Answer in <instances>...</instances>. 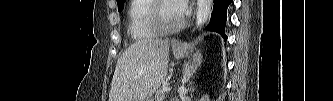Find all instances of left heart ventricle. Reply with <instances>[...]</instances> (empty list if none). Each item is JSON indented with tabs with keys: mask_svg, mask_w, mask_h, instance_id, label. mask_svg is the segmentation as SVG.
Wrapping results in <instances>:
<instances>
[{
	"mask_svg": "<svg viewBox=\"0 0 333 101\" xmlns=\"http://www.w3.org/2000/svg\"><path fill=\"white\" fill-rule=\"evenodd\" d=\"M160 17L165 27H172L181 20L182 15L177 11L174 3L166 2L160 9Z\"/></svg>",
	"mask_w": 333,
	"mask_h": 101,
	"instance_id": "1",
	"label": "left heart ventricle"
}]
</instances>
